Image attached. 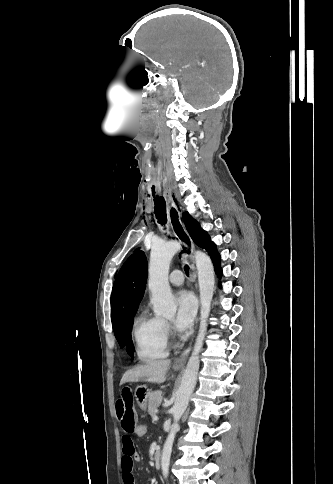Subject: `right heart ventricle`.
Here are the masks:
<instances>
[{
    "mask_svg": "<svg viewBox=\"0 0 333 484\" xmlns=\"http://www.w3.org/2000/svg\"><path fill=\"white\" fill-rule=\"evenodd\" d=\"M137 356L144 362L165 358L168 354L165 321L143 309L133 324Z\"/></svg>",
    "mask_w": 333,
    "mask_h": 484,
    "instance_id": "obj_1",
    "label": "right heart ventricle"
}]
</instances>
